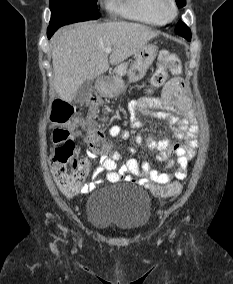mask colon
<instances>
[{"label": "colon", "instance_id": "1", "mask_svg": "<svg viewBox=\"0 0 233 284\" xmlns=\"http://www.w3.org/2000/svg\"><path fill=\"white\" fill-rule=\"evenodd\" d=\"M159 66L151 79V87L158 88L166 80L167 70L174 75H179L182 65L179 57L168 50H162L158 56ZM103 101L100 98H91L89 108L94 113ZM77 108L60 99L52 104L51 119L59 126L66 125L76 113ZM53 144V159L51 163L52 175L59 189L68 195L75 194L83 186L88 172V165L74 158L75 143L69 131L59 127L51 135ZM85 141L95 152L107 150L104 141V130L94 121H90L85 135ZM155 197L168 199L178 196L182 191V185L178 182H170L167 185L155 186L151 189Z\"/></svg>", "mask_w": 233, "mask_h": 284}]
</instances>
